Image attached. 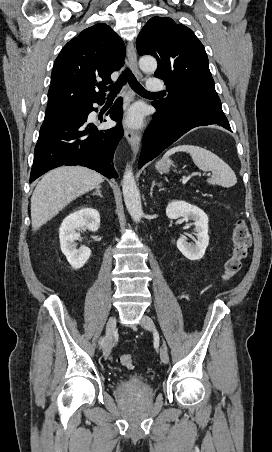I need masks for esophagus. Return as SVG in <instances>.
Here are the masks:
<instances>
[{"instance_id": "esophagus-1", "label": "esophagus", "mask_w": 272, "mask_h": 452, "mask_svg": "<svg viewBox=\"0 0 272 452\" xmlns=\"http://www.w3.org/2000/svg\"><path fill=\"white\" fill-rule=\"evenodd\" d=\"M127 57H128V61H129L132 71L134 72V74L136 75L137 78L141 79L142 73L138 68L137 54H136L135 48L132 43H129L127 45ZM124 135H125L127 141L130 143L134 153H137L139 150L140 141H141L140 133L137 131L131 130L129 128H126Z\"/></svg>"}]
</instances>
